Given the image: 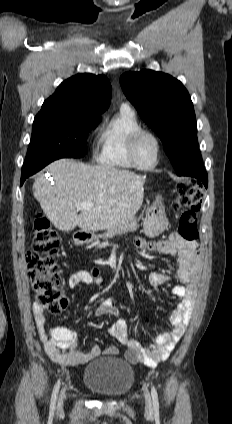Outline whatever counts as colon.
Instances as JSON below:
<instances>
[{
    "mask_svg": "<svg viewBox=\"0 0 232 424\" xmlns=\"http://www.w3.org/2000/svg\"><path fill=\"white\" fill-rule=\"evenodd\" d=\"M203 198L204 190L196 182L185 180L178 184L173 207L183 210L177 232L187 244L194 243L198 238V213ZM34 229V240L26 254V269L35 292V305L43 311L58 314L63 309L62 279L56 262L61 240L48 219L40 212L34 217Z\"/></svg>",
    "mask_w": 232,
    "mask_h": 424,
    "instance_id": "obj_1",
    "label": "colon"
}]
</instances>
